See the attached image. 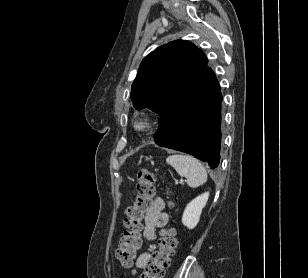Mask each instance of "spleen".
Returning <instances> with one entry per match:
<instances>
[{"instance_id": "1", "label": "spleen", "mask_w": 308, "mask_h": 278, "mask_svg": "<svg viewBox=\"0 0 308 278\" xmlns=\"http://www.w3.org/2000/svg\"><path fill=\"white\" fill-rule=\"evenodd\" d=\"M166 162L170 164L176 172L187 179V184L191 188L203 185L207 181V172L201 162L190 155L173 154L167 157Z\"/></svg>"}]
</instances>
